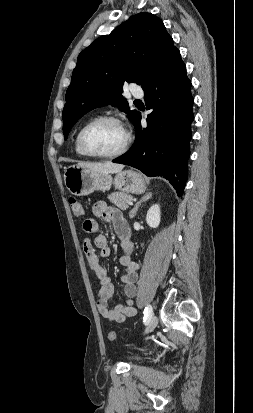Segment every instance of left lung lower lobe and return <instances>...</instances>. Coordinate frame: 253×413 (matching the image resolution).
<instances>
[{"instance_id": "left-lung-lower-lobe-1", "label": "left lung lower lobe", "mask_w": 253, "mask_h": 413, "mask_svg": "<svg viewBox=\"0 0 253 413\" xmlns=\"http://www.w3.org/2000/svg\"><path fill=\"white\" fill-rule=\"evenodd\" d=\"M143 90L147 109H153L147 118V128L142 129L139 113L133 146L112 162L132 166L147 176L164 177L181 196L188 175L194 99L178 49Z\"/></svg>"}]
</instances>
